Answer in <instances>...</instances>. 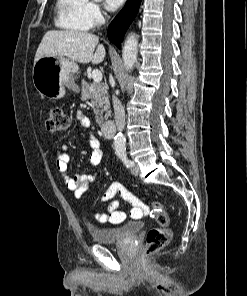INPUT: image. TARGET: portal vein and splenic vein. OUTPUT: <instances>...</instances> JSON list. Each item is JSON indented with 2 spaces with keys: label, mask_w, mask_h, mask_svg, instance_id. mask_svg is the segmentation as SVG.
<instances>
[{
  "label": "portal vein and splenic vein",
  "mask_w": 247,
  "mask_h": 296,
  "mask_svg": "<svg viewBox=\"0 0 247 296\" xmlns=\"http://www.w3.org/2000/svg\"><path fill=\"white\" fill-rule=\"evenodd\" d=\"M92 78L94 83H99L102 80V73L98 69H94L92 71Z\"/></svg>",
  "instance_id": "obj_1"
}]
</instances>
